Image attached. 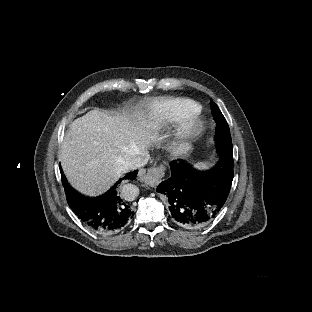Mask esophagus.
Masks as SVG:
<instances>
[{
    "label": "esophagus",
    "instance_id": "34e87169",
    "mask_svg": "<svg viewBox=\"0 0 312 312\" xmlns=\"http://www.w3.org/2000/svg\"><path fill=\"white\" fill-rule=\"evenodd\" d=\"M164 174V167H154L148 170H141L138 173V178L143 180L149 186H156L162 181V176Z\"/></svg>",
    "mask_w": 312,
    "mask_h": 312
}]
</instances>
